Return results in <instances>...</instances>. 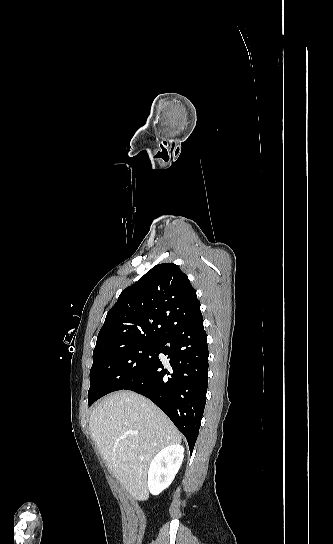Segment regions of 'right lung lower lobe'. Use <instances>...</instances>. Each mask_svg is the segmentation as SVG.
Returning a JSON list of instances; mask_svg holds the SVG:
<instances>
[{
	"instance_id": "1",
	"label": "right lung lower lobe",
	"mask_w": 333,
	"mask_h": 544,
	"mask_svg": "<svg viewBox=\"0 0 333 544\" xmlns=\"http://www.w3.org/2000/svg\"><path fill=\"white\" fill-rule=\"evenodd\" d=\"M168 355L167 359L159 356ZM208 346L202 315L159 339L156 357L123 387L154 402L184 434L190 453L198 436L208 385Z\"/></svg>"
}]
</instances>
